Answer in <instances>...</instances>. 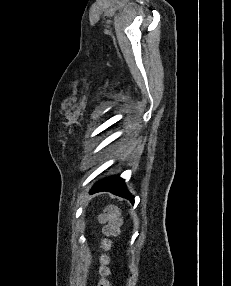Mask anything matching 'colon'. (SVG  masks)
<instances>
[{
    "instance_id": "obj_1",
    "label": "colon",
    "mask_w": 231,
    "mask_h": 286,
    "mask_svg": "<svg viewBox=\"0 0 231 286\" xmlns=\"http://www.w3.org/2000/svg\"><path fill=\"white\" fill-rule=\"evenodd\" d=\"M100 221L104 224L103 234L104 239L102 240L103 253L100 257V280L98 286H111L108 276L110 274L109 270V257L107 251L111 247V238L116 236L119 232V221L118 212L113 206H107L100 217Z\"/></svg>"
}]
</instances>
